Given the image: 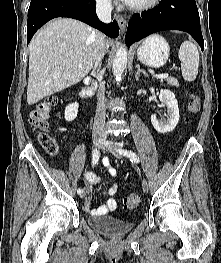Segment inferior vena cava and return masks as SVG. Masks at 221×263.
Here are the masks:
<instances>
[{"label": "inferior vena cava", "instance_id": "602c4592", "mask_svg": "<svg viewBox=\"0 0 221 263\" xmlns=\"http://www.w3.org/2000/svg\"><path fill=\"white\" fill-rule=\"evenodd\" d=\"M96 13L98 18L104 22L109 23L112 20V5L110 0H96ZM97 55L94 63V74L99 81L102 80L104 71H100L101 62L105 53V39L103 34H99L97 37ZM105 88L103 84H100L97 93V109L94 118L93 136L106 139L107 134L105 131L106 120V107H105Z\"/></svg>", "mask_w": 221, "mask_h": 263}]
</instances>
